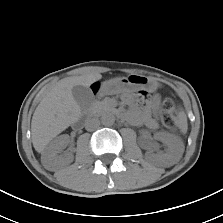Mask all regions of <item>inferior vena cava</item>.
<instances>
[{
    "label": "inferior vena cava",
    "mask_w": 223,
    "mask_h": 223,
    "mask_svg": "<svg viewBox=\"0 0 223 223\" xmlns=\"http://www.w3.org/2000/svg\"><path fill=\"white\" fill-rule=\"evenodd\" d=\"M100 126V121L98 118H90L85 123V128L88 131H94Z\"/></svg>",
    "instance_id": "602c4592"
}]
</instances>
